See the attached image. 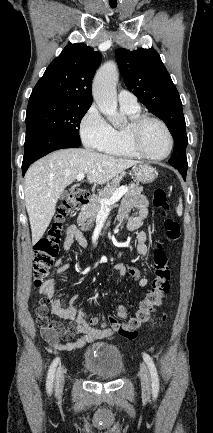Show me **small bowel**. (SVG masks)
<instances>
[{"instance_id":"small-bowel-1","label":"small bowel","mask_w":213,"mask_h":433,"mask_svg":"<svg viewBox=\"0 0 213 433\" xmlns=\"http://www.w3.org/2000/svg\"><path fill=\"white\" fill-rule=\"evenodd\" d=\"M137 212L132 214V210ZM149 213L148 200L144 195L126 198L120 208L118 221L122 228L133 231L138 230L143 226ZM137 252L146 256L149 253L147 243V233L144 230L136 232ZM78 243L82 247L88 246V241L76 225H69L65 229L63 248L65 251H71L74 243ZM58 272H62L69 267L68 263L59 261ZM119 275H129L136 280L139 287H145L149 283L148 275L143 276L140 270L133 266H127L123 263H118L114 266ZM40 294L44 297V301L50 306L51 314L61 320L70 323L71 333L66 335L60 333L56 327L47 329L41 328V335L54 349L63 351H72L83 348L84 346L93 343L100 339L112 338L115 331L112 328L98 329L87 324L78 323L77 311L73 306L62 305L60 299L56 296L55 281L52 277L46 279L39 289ZM75 334L82 336L73 342L61 344L59 338H69Z\"/></svg>"}]
</instances>
